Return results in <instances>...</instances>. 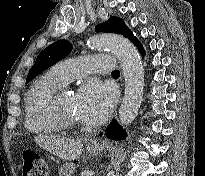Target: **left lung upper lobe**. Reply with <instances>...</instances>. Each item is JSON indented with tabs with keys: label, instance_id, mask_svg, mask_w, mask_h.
<instances>
[{
	"label": "left lung upper lobe",
	"instance_id": "1",
	"mask_svg": "<svg viewBox=\"0 0 205 176\" xmlns=\"http://www.w3.org/2000/svg\"><path fill=\"white\" fill-rule=\"evenodd\" d=\"M97 32L117 33L128 38L131 30L119 17H110L105 23L96 26ZM72 49V45L67 40H59L44 49L37 57L34 66L30 69L26 81L34 78L42 71L54 65L66 57Z\"/></svg>",
	"mask_w": 205,
	"mask_h": 176
}]
</instances>
